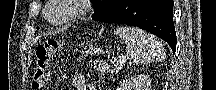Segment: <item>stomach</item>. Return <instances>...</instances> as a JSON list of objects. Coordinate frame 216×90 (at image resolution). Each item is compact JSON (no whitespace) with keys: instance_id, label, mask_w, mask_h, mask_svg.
<instances>
[{"instance_id":"0dacf381","label":"stomach","mask_w":216,"mask_h":90,"mask_svg":"<svg viewBox=\"0 0 216 90\" xmlns=\"http://www.w3.org/2000/svg\"><path fill=\"white\" fill-rule=\"evenodd\" d=\"M92 52L99 54V53H100V49H97V48L94 49V50H93V49H90V50H88L86 53H90V54H91Z\"/></svg>"}]
</instances>
